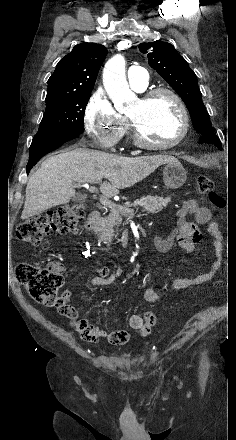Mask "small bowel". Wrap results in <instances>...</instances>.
<instances>
[{
  "instance_id": "small-bowel-1",
  "label": "small bowel",
  "mask_w": 236,
  "mask_h": 440,
  "mask_svg": "<svg viewBox=\"0 0 236 440\" xmlns=\"http://www.w3.org/2000/svg\"><path fill=\"white\" fill-rule=\"evenodd\" d=\"M191 215L195 222H191L187 217ZM196 223L207 224L208 233L212 237L214 246V261L209 270L203 274L176 278L171 283V288L174 290H183L194 286L201 285L211 280L221 268L222 258V234L218 229V225L212 220L211 211L208 207L199 204L194 199L185 200L177 213V225L167 236H157L154 240L155 247L160 252H167L171 249L174 243H178L187 252H194L198 244L202 240V233L198 229ZM61 272L63 267L60 264H53ZM121 268L116 267L110 272L108 267H99L97 275L89 280V285L93 287L107 286L112 284L117 278L122 275ZM62 298L67 303V308L63 315L70 319V330H77L81 337L89 342H96L98 337L106 339L113 345L126 344L130 336H135L136 331L140 338L145 339L148 333L151 332V325L144 324L142 318L133 314L129 318L130 327H125L124 330L105 331L94 326L93 321H82L79 319L77 310L68 304L72 297L70 290H64L61 293ZM160 292L155 287H149L144 292V299L150 303H156L160 300ZM103 314L108 321H112L107 307L103 308Z\"/></svg>"
}]
</instances>
